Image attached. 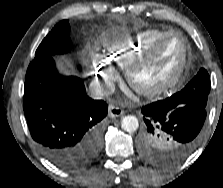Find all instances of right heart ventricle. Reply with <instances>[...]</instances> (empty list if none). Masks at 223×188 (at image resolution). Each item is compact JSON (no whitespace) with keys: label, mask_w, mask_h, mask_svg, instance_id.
<instances>
[{"label":"right heart ventricle","mask_w":223,"mask_h":188,"mask_svg":"<svg viewBox=\"0 0 223 188\" xmlns=\"http://www.w3.org/2000/svg\"><path fill=\"white\" fill-rule=\"evenodd\" d=\"M167 32L169 31L162 29H146L126 41L111 42L106 45V59L127 68Z\"/></svg>","instance_id":"right-heart-ventricle-1"}]
</instances>
